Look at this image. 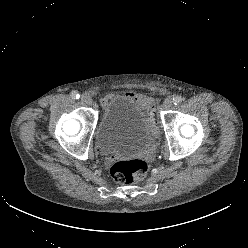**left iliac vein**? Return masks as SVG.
<instances>
[{
	"mask_svg": "<svg viewBox=\"0 0 248 248\" xmlns=\"http://www.w3.org/2000/svg\"><path fill=\"white\" fill-rule=\"evenodd\" d=\"M162 107H163L164 110H169L172 107V100L171 99H166L163 102V106Z\"/></svg>",
	"mask_w": 248,
	"mask_h": 248,
	"instance_id": "left-iliac-vein-1",
	"label": "left iliac vein"
}]
</instances>
